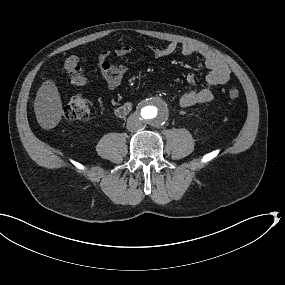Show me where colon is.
Listing matches in <instances>:
<instances>
[{
	"mask_svg": "<svg viewBox=\"0 0 285 285\" xmlns=\"http://www.w3.org/2000/svg\"><path fill=\"white\" fill-rule=\"evenodd\" d=\"M78 56L72 55L65 61V68L68 72L69 81L75 85H83L86 82V74L78 64ZM239 90L231 88L228 91L230 99L239 97ZM65 116L70 120H86L90 117L91 109L89 101L83 96H74L70 99L64 109Z\"/></svg>",
	"mask_w": 285,
	"mask_h": 285,
	"instance_id": "colon-1",
	"label": "colon"
}]
</instances>
